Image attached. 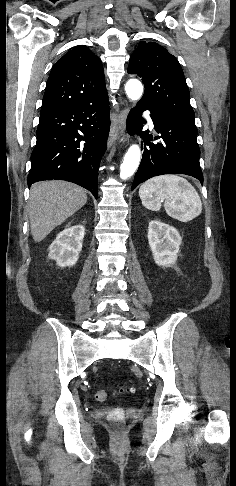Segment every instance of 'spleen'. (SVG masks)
<instances>
[{
  "instance_id": "3e777b00",
  "label": "spleen",
  "mask_w": 236,
  "mask_h": 486,
  "mask_svg": "<svg viewBox=\"0 0 236 486\" xmlns=\"http://www.w3.org/2000/svg\"><path fill=\"white\" fill-rule=\"evenodd\" d=\"M142 204L159 211L162 202L168 215L188 222L202 211V202L198 192L185 178L178 175H163L149 179L139 189Z\"/></svg>"
}]
</instances>
